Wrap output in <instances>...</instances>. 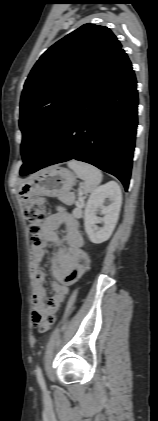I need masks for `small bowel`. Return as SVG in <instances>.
<instances>
[{
	"instance_id": "1",
	"label": "small bowel",
	"mask_w": 158,
	"mask_h": 421,
	"mask_svg": "<svg viewBox=\"0 0 158 421\" xmlns=\"http://www.w3.org/2000/svg\"><path fill=\"white\" fill-rule=\"evenodd\" d=\"M65 227L66 235L62 240L57 234L60 226ZM49 243L56 246L51 261L54 281V296L48 298L41 262L45 257V248ZM83 237L79 231L77 218L67 211L51 215L43 224L37 244L30 254V266L33 282V320L38 323L47 310L55 311L68 294L69 286L74 283L89 267L90 259L83 248Z\"/></svg>"
}]
</instances>
